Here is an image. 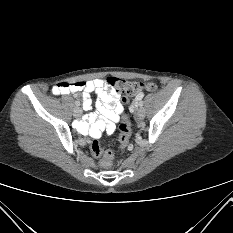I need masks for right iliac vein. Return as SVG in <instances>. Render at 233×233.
I'll use <instances>...</instances> for the list:
<instances>
[{
    "label": "right iliac vein",
    "instance_id": "63e3f726",
    "mask_svg": "<svg viewBox=\"0 0 233 233\" xmlns=\"http://www.w3.org/2000/svg\"><path fill=\"white\" fill-rule=\"evenodd\" d=\"M81 114H82V109L80 107H75L73 110V115L75 117H79V116H81Z\"/></svg>",
    "mask_w": 233,
    "mask_h": 233
}]
</instances>
